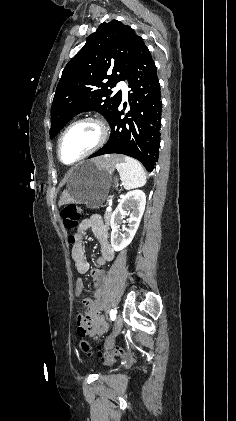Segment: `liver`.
Segmentation results:
<instances>
[{"label": "liver", "instance_id": "obj_1", "mask_svg": "<svg viewBox=\"0 0 236 421\" xmlns=\"http://www.w3.org/2000/svg\"><path fill=\"white\" fill-rule=\"evenodd\" d=\"M93 160L94 162H98V164H103V166H114L118 160H121V156L120 154H103V156H97ZM67 202H72V198L68 190H63L60 196L59 206L61 204H67Z\"/></svg>", "mask_w": 236, "mask_h": 421}]
</instances>
